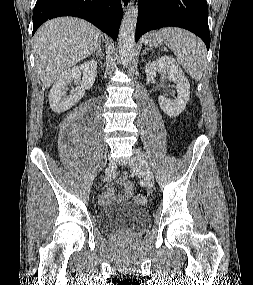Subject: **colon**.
Returning <instances> with one entry per match:
<instances>
[{"label": "colon", "mask_w": 253, "mask_h": 285, "mask_svg": "<svg viewBox=\"0 0 253 285\" xmlns=\"http://www.w3.org/2000/svg\"><path fill=\"white\" fill-rule=\"evenodd\" d=\"M134 202L138 205H145L147 203V196L145 194H138L135 196Z\"/></svg>", "instance_id": "5ec220e1"}]
</instances>
